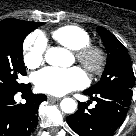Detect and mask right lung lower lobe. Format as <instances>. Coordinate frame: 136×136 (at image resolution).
Wrapping results in <instances>:
<instances>
[{
  "mask_svg": "<svg viewBox=\"0 0 136 136\" xmlns=\"http://www.w3.org/2000/svg\"><path fill=\"white\" fill-rule=\"evenodd\" d=\"M31 84L11 93H0V136H28L38 123L39 104L47 100L46 95H34ZM22 92L27 95L25 104H16L14 95Z\"/></svg>",
  "mask_w": 136,
  "mask_h": 136,
  "instance_id": "right-lung-lower-lobe-1",
  "label": "right lung lower lobe"
}]
</instances>
